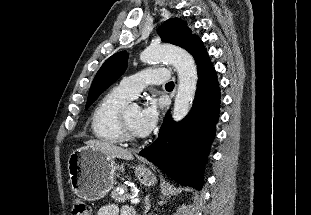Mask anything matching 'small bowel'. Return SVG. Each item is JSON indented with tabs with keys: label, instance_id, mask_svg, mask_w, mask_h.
I'll list each match as a JSON object with an SVG mask.
<instances>
[{
	"label": "small bowel",
	"instance_id": "small-bowel-1",
	"mask_svg": "<svg viewBox=\"0 0 311 215\" xmlns=\"http://www.w3.org/2000/svg\"><path fill=\"white\" fill-rule=\"evenodd\" d=\"M133 210L129 207H124L121 210L116 204H109L101 207L97 215H132Z\"/></svg>",
	"mask_w": 311,
	"mask_h": 215
}]
</instances>
